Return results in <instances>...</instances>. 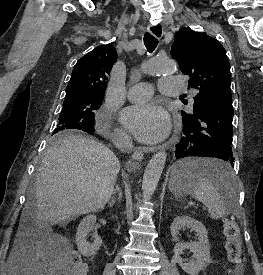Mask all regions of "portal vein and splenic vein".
I'll return each mask as SVG.
<instances>
[{
  "mask_svg": "<svg viewBox=\"0 0 263 275\" xmlns=\"http://www.w3.org/2000/svg\"><path fill=\"white\" fill-rule=\"evenodd\" d=\"M189 204H190V205H194L195 203H194V202H190Z\"/></svg>",
  "mask_w": 263,
  "mask_h": 275,
  "instance_id": "portal-vein-and-splenic-vein-1",
  "label": "portal vein and splenic vein"
}]
</instances>
